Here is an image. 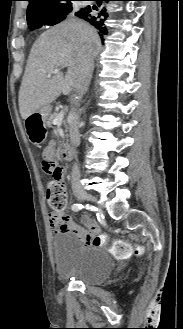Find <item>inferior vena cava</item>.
<instances>
[{
	"instance_id": "1",
	"label": "inferior vena cava",
	"mask_w": 183,
	"mask_h": 329,
	"mask_svg": "<svg viewBox=\"0 0 183 329\" xmlns=\"http://www.w3.org/2000/svg\"><path fill=\"white\" fill-rule=\"evenodd\" d=\"M94 63L93 58L90 54H84L81 58V74L79 85L77 87V92L79 97L86 92L93 73ZM70 140L73 147H78L80 145V133H79V116L76 111L72 113L70 127ZM72 184L76 185L79 183L80 171L77 164H74L72 167Z\"/></svg>"
}]
</instances>
